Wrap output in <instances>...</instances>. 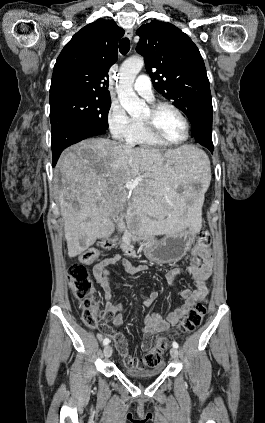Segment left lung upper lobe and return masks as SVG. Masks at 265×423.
<instances>
[{
  "label": "left lung upper lobe",
  "instance_id": "1",
  "mask_svg": "<svg viewBox=\"0 0 265 423\" xmlns=\"http://www.w3.org/2000/svg\"><path fill=\"white\" fill-rule=\"evenodd\" d=\"M136 34V51L144 57L155 89L187 115L193 132L200 114L212 107L199 49L179 28L158 20L143 24Z\"/></svg>",
  "mask_w": 265,
  "mask_h": 423
}]
</instances>
